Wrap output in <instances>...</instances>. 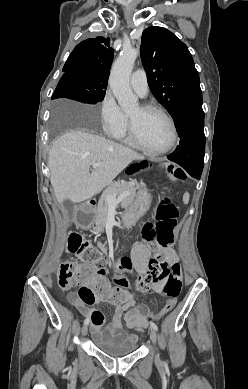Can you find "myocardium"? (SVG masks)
I'll return each mask as SVG.
<instances>
[{
    "label": "myocardium",
    "mask_w": 248,
    "mask_h": 389,
    "mask_svg": "<svg viewBox=\"0 0 248 389\" xmlns=\"http://www.w3.org/2000/svg\"><path fill=\"white\" fill-rule=\"evenodd\" d=\"M139 106L144 111H154V112L159 113L168 121L170 128H171V140L167 146H165L164 148H161V149H151V148L147 147L142 142V140L137 132L135 122L132 120L131 117L128 116L129 134H130L131 139L135 143V145L139 149H141L142 151H144L145 153L150 154V155H162V154H165V153L171 151L175 147L177 140H178L177 126H176V123H175L174 119L172 118V116L170 114H168L163 108H161L160 106H158L154 103L146 102V103L140 104Z\"/></svg>",
    "instance_id": "1"
}]
</instances>
